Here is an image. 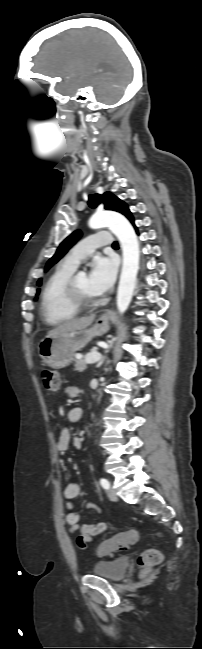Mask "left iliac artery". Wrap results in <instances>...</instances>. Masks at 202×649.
<instances>
[{"mask_svg":"<svg viewBox=\"0 0 202 649\" xmlns=\"http://www.w3.org/2000/svg\"><path fill=\"white\" fill-rule=\"evenodd\" d=\"M100 484H101V486H102L104 489H106V490L109 489V487H110V483H109L108 480L105 479V478H101V479H100Z\"/></svg>","mask_w":202,"mask_h":649,"instance_id":"44dca946","label":"left iliac artery"}]
</instances>
